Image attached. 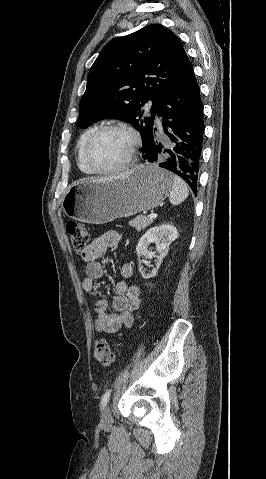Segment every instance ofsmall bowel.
Listing matches in <instances>:
<instances>
[{
    "label": "small bowel",
    "mask_w": 266,
    "mask_h": 479,
    "mask_svg": "<svg viewBox=\"0 0 266 479\" xmlns=\"http://www.w3.org/2000/svg\"><path fill=\"white\" fill-rule=\"evenodd\" d=\"M122 235L117 231H108L96 236L86 250L81 254L86 263L85 277L82 288L87 293H95L98 290L97 281L104 275V268L98 261L109 248L120 245ZM121 279L114 284L115 297L111 303L112 311H109V301L100 298L95 302L94 310L97 314L95 327L101 333H115L122 328H130L134 322L135 312L139 309L141 299L140 290L137 286L129 285L126 281L133 274V267L128 262L119 266Z\"/></svg>",
    "instance_id": "c3829d8e"
}]
</instances>
